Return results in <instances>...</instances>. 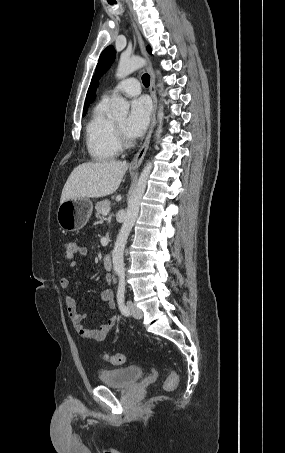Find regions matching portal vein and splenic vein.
I'll return each instance as SVG.
<instances>
[{"label":"portal vein and splenic vein","instance_id":"portal-vein-and-splenic-vein-1","mask_svg":"<svg viewBox=\"0 0 285 453\" xmlns=\"http://www.w3.org/2000/svg\"><path fill=\"white\" fill-rule=\"evenodd\" d=\"M108 213H109V209H105V210H103L102 215L103 216H107Z\"/></svg>","mask_w":285,"mask_h":453}]
</instances>
